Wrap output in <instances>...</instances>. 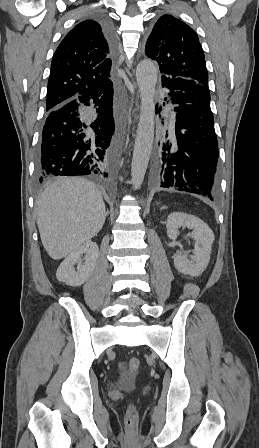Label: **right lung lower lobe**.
<instances>
[{
	"instance_id": "right-lung-lower-lobe-1",
	"label": "right lung lower lobe",
	"mask_w": 259,
	"mask_h": 448,
	"mask_svg": "<svg viewBox=\"0 0 259 448\" xmlns=\"http://www.w3.org/2000/svg\"><path fill=\"white\" fill-rule=\"evenodd\" d=\"M102 26L111 50L116 53L112 24L104 17ZM113 85L100 93L80 96L46 110L41 143L36 153V173L40 182L51 175L77 176L106 172L115 141Z\"/></svg>"
}]
</instances>
